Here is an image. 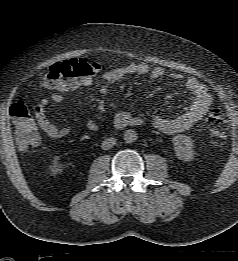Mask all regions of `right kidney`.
<instances>
[{
  "mask_svg": "<svg viewBox=\"0 0 238 261\" xmlns=\"http://www.w3.org/2000/svg\"><path fill=\"white\" fill-rule=\"evenodd\" d=\"M62 170H63V167H62V166H58V167L56 168V171H57V172H62Z\"/></svg>",
  "mask_w": 238,
  "mask_h": 261,
  "instance_id": "obj_1",
  "label": "right kidney"
}]
</instances>
